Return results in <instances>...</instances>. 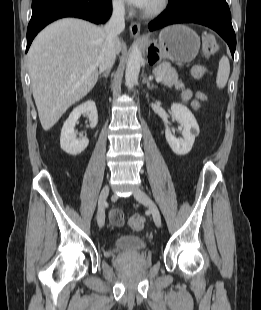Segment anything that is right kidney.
<instances>
[{
	"instance_id": "ca27d5eb",
	"label": "right kidney",
	"mask_w": 261,
	"mask_h": 310,
	"mask_svg": "<svg viewBox=\"0 0 261 310\" xmlns=\"http://www.w3.org/2000/svg\"><path fill=\"white\" fill-rule=\"evenodd\" d=\"M82 114H87L90 121V127L95 128L98 123V113L94 101H87L77 106L65 121L60 136V146L63 151L70 155H78L83 152L89 143L86 137L76 138L75 125Z\"/></svg>"
}]
</instances>
